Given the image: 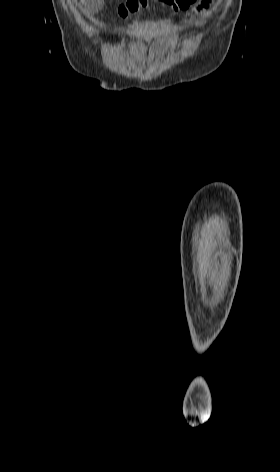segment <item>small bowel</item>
I'll return each mask as SVG.
<instances>
[{"instance_id":"obj_1","label":"small bowel","mask_w":280,"mask_h":472,"mask_svg":"<svg viewBox=\"0 0 280 472\" xmlns=\"http://www.w3.org/2000/svg\"><path fill=\"white\" fill-rule=\"evenodd\" d=\"M178 4L174 6L175 10L177 11H184V12H195L200 8L206 7L208 5V1H201V0H180Z\"/></svg>"}]
</instances>
